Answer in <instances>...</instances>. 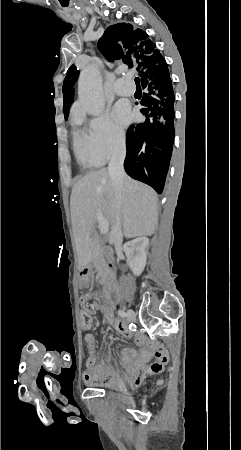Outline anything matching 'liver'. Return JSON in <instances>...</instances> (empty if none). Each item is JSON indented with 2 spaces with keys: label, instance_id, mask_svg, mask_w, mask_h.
Returning <instances> with one entry per match:
<instances>
[{
  "label": "liver",
  "instance_id": "1",
  "mask_svg": "<svg viewBox=\"0 0 241 450\" xmlns=\"http://www.w3.org/2000/svg\"><path fill=\"white\" fill-rule=\"evenodd\" d=\"M122 196L121 222L125 238L152 236L158 224L155 190L125 176ZM70 208L78 270L82 272L98 256V244L91 238V234L97 238L96 222L100 218L109 226L115 222V192L107 168L89 172L77 180L72 188Z\"/></svg>",
  "mask_w": 241,
  "mask_h": 450
}]
</instances>
